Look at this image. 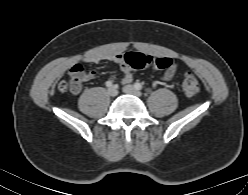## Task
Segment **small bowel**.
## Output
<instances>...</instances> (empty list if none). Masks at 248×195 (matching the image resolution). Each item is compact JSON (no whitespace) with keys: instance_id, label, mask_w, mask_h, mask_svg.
I'll return each instance as SVG.
<instances>
[{"instance_id":"c3829d8e","label":"small bowel","mask_w":248,"mask_h":195,"mask_svg":"<svg viewBox=\"0 0 248 195\" xmlns=\"http://www.w3.org/2000/svg\"><path fill=\"white\" fill-rule=\"evenodd\" d=\"M121 55L122 54H113V55L96 54V55H92V56L85 58L83 60V63H85V64H97V63H100V62L105 61V60L113 61V62L120 65L121 71L123 72L122 83L127 85V84H130L132 82L133 77H132V74L130 73L129 68L123 64V61L121 59ZM76 68L83 69V65L80 63L76 64L70 69V71H73ZM176 72H177V65L172 64V66L164 72V74L162 76V80L168 81V80L172 79L174 77V75L176 74ZM95 74H96L95 71H88V72L84 71L83 72V76H84L83 80L89 81V80L94 78Z\"/></svg>"}]
</instances>
